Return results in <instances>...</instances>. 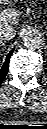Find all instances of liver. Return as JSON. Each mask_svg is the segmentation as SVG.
I'll return each mask as SVG.
<instances>
[{"label":"liver","mask_w":47,"mask_h":129,"mask_svg":"<svg viewBox=\"0 0 47 129\" xmlns=\"http://www.w3.org/2000/svg\"><path fill=\"white\" fill-rule=\"evenodd\" d=\"M2 4H10V0H1ZM19 23V14L14 9H6L0 13V27L10 25L16 27Z\"/></svg>","instance_id":"6515ba94"}]
</instances>
